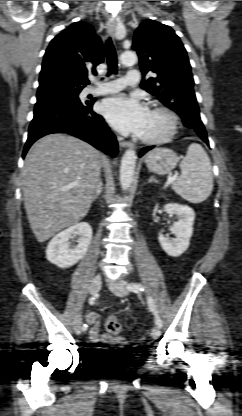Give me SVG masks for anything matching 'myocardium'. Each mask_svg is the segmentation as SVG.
Returning a JSON list of instances; mask_svg holds the SVG:
<instances>
[{"instance_id": "1", "label": "myocardium", "mask_w": 242, "mask_h": 416, "mask_svg": "<svg viewBox=\"0 0 242 416\" xmlns=\"http://www.w3.org/2000/svg\"><path fill=\"white\" fill-rule=\"evenodd\" d=\"M151 111H156L164 114L168 119V125L165 132L156 137H139L142 143L148 145L162 144L170 140L177 131L178 128V117L176 113L169 107L161 104H155L150 108Z\"/></svg>"}]
</instances>
